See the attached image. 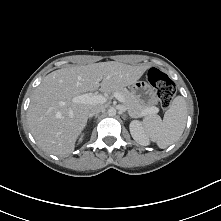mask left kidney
Segmentation results:
<instances>
[{
    "mask_svg": "<svg viewBox=\"0 0 221 221\" xmlns=\"http://www.w3.org/2000/svg\"><path fill=\"white\" fill-rule=\"evenodd\" d=\"M129 129L133 139L136 142L144 146L149 144V139L145 134L142 124L139 121L137 120L131 121Z\"/></svg>",
    "mask_w": 221,
    "mask_h": 221,
    "instance_id": "left-kidney-1",
    "label": "left kidney"
}]
</instances>
